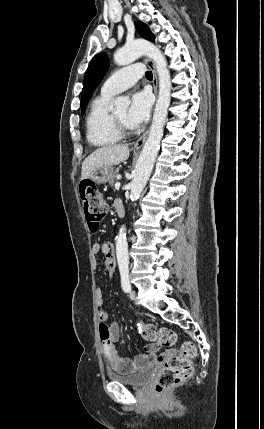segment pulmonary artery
Masks as SVG:
<instances>
[{
	"label": "pulmonary artery",
	"instance_id": "1",
	"mask_svg": "<svg viewBox=\"0 0 264 429\" xmlns=\"http://www.w3.org/2000/svg\"><path fill=\"white\" fill-rule=\"evenodd\" d=\"M144 72L143 65L133 64L124 67L112 74L102 85L101 93L116 95L133 86Z\"/></svg>",
	"mask_w": 264,
	"mask_h": 429
}]
</instances>
